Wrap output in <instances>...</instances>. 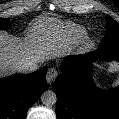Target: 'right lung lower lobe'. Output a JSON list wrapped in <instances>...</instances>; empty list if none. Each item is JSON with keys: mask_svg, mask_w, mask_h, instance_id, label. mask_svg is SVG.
<instances>
[{"mask_svg": "<svg viewBox=\"0 0 119 119\" xmlns=\"http://www.w3.org/2000/svg\"><path fill=\"white\" fill-rule=\"evenodd\" d=\"M47 68L0 79V119H26L31 105L46 90Z\"/></svg>", "mask_w": 119, "mask_h": 119, "instance_id": "obj_1", "label": "right lung lower lobe"}]
</instances>
